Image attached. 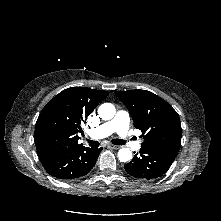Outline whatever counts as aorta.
Wrapping results in <instances>:
<instances>
[{
	"mask_svg": "<svg viewBox=\"0 0 221 221\" xmlns=\"http://www.w3.org/2000/svg\"><path fill=\"white\" fill-rule=\"evenodd\" d=\"M116 110L113 104L104 103L98 108V114L103 120H110L115 116ZM118 158L122 162H127L132 159V152L129 148H121L118 151Z\"/></svg>",
	"mask_w": 221,
	"mask_h": 221,
	"instance_id": "aorta-1",
	"label": "aorta"
}]
</instances>
